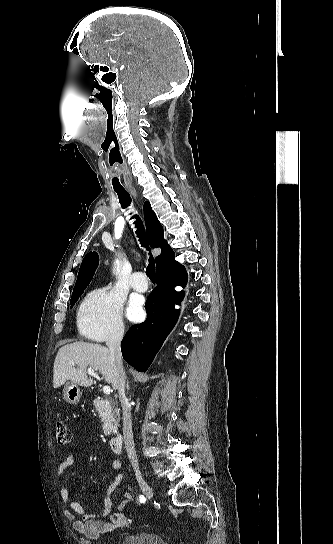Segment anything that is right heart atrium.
Segmentation results:
<instances>
[{
  "mask_svg": "<svg viewBox=\"0 0 333 544\" xmlns=\"http://www.w3.org/2000/svg\"><path fill=\"white\" fill-rule=\"evenodd\" d=\"M78 326L94 341L121 339L125 332L123 300L108 287L92 291L79 309Z\"/></svg>",
  "mask_w": 333,
  "mask_h": 544,
  "instance_id": "obj_1",
  "label": "right heart atrium"
}]
</instances>
